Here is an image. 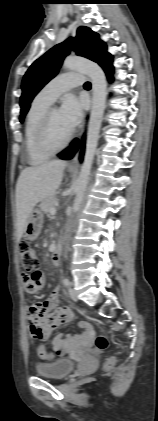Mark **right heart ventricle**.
<instances>
[{"label": "right heart ventricle", "mask_w": 158, "mask_h": 421, "mask_svg": "<svg viewBox=\"0 0 158 421\" xmlns=\"http://www.w3.org/2000/svg\"><path fill=\"white\" fill-rule=\"evenodd\" d=\"M51 103L36 96L32 101L25 120V151L31 165H40L47 161L51 154L42 151L37 141V131L43 114Z\"/></svg>", "instance_id": "e07e8e85"}]
</instances>
